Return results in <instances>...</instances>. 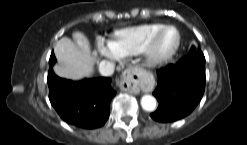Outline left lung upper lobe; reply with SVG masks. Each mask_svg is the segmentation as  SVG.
Returning <instances> with one entry per match:
<instances>
[{"mask_svg": "<svg viewBox=\"0 0 247 145\" xmlns=\"http://www.w3.org/2000/svg\"><path fill=\"white\" fill-rule=\"evenodd\" d=\"M199 49V48H198ZM191 50H195V48L194 47H192V49Z\"/></svg>", "mask_w": 247, "mask_h": 145, "instance_id": "5c2ea615", "label": "left lung upper lobe"}]
</instances>
